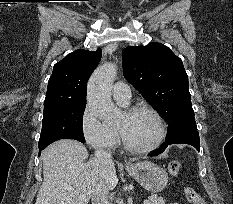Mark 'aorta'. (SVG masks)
<instances>
[{"mask_svg": "<svg viewBox=\"0 0 233 204\" xmlns=\"http://www.w3.org/2000/svg\"><path fill=\"white\" fill-rule=\"evenodd\" d=\"M116 75L117 66L106 63L93 72L87 85L88 104L107 123L115 121L120 115V109L111 100V88Z\"/></svg>", "mask_w": 233, "mask_h": 204, "instance_id": "obj_1", "label": "aorta"}]
</instances>
